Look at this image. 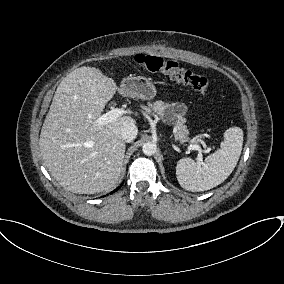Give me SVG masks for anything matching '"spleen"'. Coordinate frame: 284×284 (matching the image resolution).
Masks as SVG:
<instances>
[{
  "label": "spleen",
  "instance_id": "spleen-1",
  "mask_svg": "<svg viewBox=\"0 0 284 284\" xmlns=\"http://www.w3.org/2000/svg\"><path fill=\"white\" fill-rule=\"evenodd\" d=\"M243 131L231 127L224 133L220 148L205 158L203 163L191 158L177 162L176 175L180 186L188 191H205L221 184L232 173L240 158Z\"/></svg>",
  "mask_w": 284,
  "mask_h": 284
}]
</instances>
